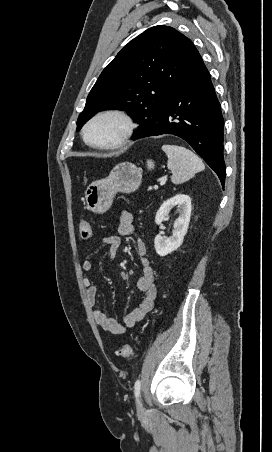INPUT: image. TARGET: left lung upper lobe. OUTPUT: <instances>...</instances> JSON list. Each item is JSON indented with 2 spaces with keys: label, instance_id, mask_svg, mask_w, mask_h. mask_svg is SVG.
Segmentation results:
<instances>
[{
  "label": "left lung upper lobe",
  "instance_id": "obj_1",
  "mask_svg": "<svg viewBox=\"0 0 272 452\" xmlns=\"http://www.w3.org/2000/svg\"><path fill=\"white\" fill-rule=\"evenodd\" d=\"M197 49L169 26H154L130 41L102 71L77 120L81 129L105 109L130 112L144 129L157 123Z\"/></svg>",
  "mask_w": 272,
  "mask_h": 452
}]
</instances>
